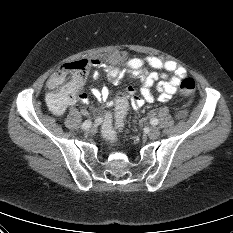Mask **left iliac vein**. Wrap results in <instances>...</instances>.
Returning a JSON list of instances; mask_svg holds the SVG:
<instances>
[{"label":"left iliac vein","mask_w":233,"mask_h":233,"mask_svg":"<svg viewBox=\"0 0 233 233\" xmlns=\"http://www.w3.org/2000/svg\"><path fill=\"white\" fill-rule=\"evenodd\" d=\"M160 135V130L157 127H151L148 131V136L150 139H156Z\"/></svg>","instance_id":"left-iliac-vein-1"}]
</instances>
